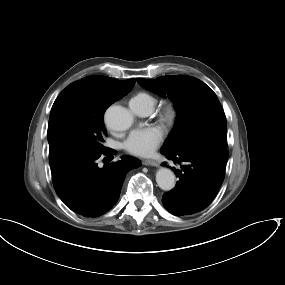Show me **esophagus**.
Listing matches in <instances>:
<instances>
[{
	"instance_id": "1",
	"label": "esophagus",
	"mask_w": 285,
	"mask_h": 285,
	"mask_svg": "<svg viewBox=\"0 0 285 285\" xmlns=\"http://www.w3.org/2000/svg\"><path fill=\"white\" fill-rule=\"evenodd\" d=\"M142 164L143 165H146V166H155V167H158L159 166V163L157 161H154V160H151V159H145L142 161Z\"/></svg>"
}]
</instances>
